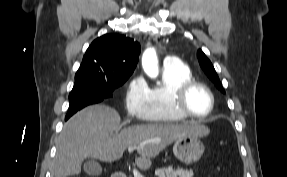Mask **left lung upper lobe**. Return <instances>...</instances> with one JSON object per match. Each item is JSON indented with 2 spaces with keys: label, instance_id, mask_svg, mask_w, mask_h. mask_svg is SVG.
I'll return each instance as SVG.
<instances>
[{
  "label": "left lung upper lobe",
  "instance_id": "1",
  "mask_svg": "<svg viewBox=\"0 0 287 177\" xmlns=\"http://www.w3.org/2000/svg\"><path fill=\"white\" fill-rule=\"evenodd\" d=\"M198 60L200 63V66L204 70V72L207 74V76L215 83L216 87L223 93H225L222 84L217 76V73L210 62V60L206 57V55L202 52L201 49L198 50L197 53Z\"/></svg>",
  "mask_w": 287,
  "mask_h": 177
}]
</instances>
